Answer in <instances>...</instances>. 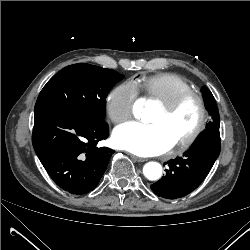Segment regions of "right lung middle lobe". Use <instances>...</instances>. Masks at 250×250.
Masks as SVG:
<instances>
[{"instance_id": "dd1d6c3e", "label": "right lung middle lobe", "mask_w": 250, "mask_h": 250, "mask_svg": "<svg viewBox=\"0 0 250 250\" xmlns=\"http://www.w3.org/2000/svg\"><path fill=\"white\" fill-rule=\"evenodd\" d=\"M123 78L114 70L90 64L67 66L41 90L34 112L57 110L103 120L107 94Z\"/></svg>"}]
</instances>
